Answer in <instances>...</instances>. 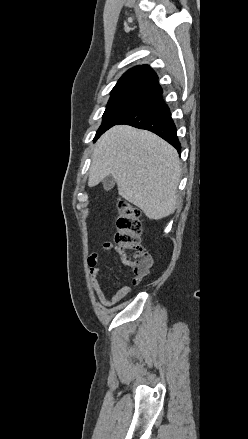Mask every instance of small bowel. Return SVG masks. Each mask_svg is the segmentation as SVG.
Here are the masks:
<instances>
[{"mask_svg": "<svg viewBox=\"0 0 248 439\" xmlns=\"http://www.w3.org/2000/svg\"><path fill=\"white\" fill-rule=\"evenodd\" d=\"M112 247L113 246L111 243H106L103 245L102 250L109 251L112 249ZM99 262H100V255L98 252H94V253L90 254V256L88 257V266L90 269L91 286H92L94 294H95L96 298L98 299V301L100 302V304L103 305L104 307H112L130 294L131 287L129 285H124V286L120 287L110 297H107L104 294V292L101 288V285L99 283V280H98V276L101 272V268L99 267ZM132 283L134 285H136L139 282H137L135 280V278H133Z\"/></svg>", "mask_w": 248, "mask_h": 439, "instance_id": "small-bowel-1", "label": "small bowel"}]
</instances>
